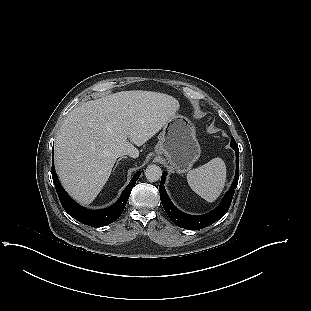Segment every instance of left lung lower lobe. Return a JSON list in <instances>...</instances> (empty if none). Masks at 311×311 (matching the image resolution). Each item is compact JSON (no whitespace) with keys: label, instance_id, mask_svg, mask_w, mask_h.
<instances>
[{"label":"left lung lower lobe","instance_id":"left-lung-lower-lobe-1","mask_svg":"<svg viewBox=\"0 0 311 311\" xmlns=\"http://www.w3.org/2000/svg\"><path fill=\"white\" fill-rule=\"evenodd\" d=\"M231 147L236 151V174L234 181L229 189V191L226 193L224 198L222 199V202L220 205L214 209L213 211L199 216H192L188 215L180 210H178L171 200L169 199L165 188H164V181L166 178V172L164 171L162 174L159 192H160V199L163 205V208L165 209L166 213L168 214L169 218L179 227L190 229V230H197L205 228L220 218H222L226 212L228 211L235 189L238 184L239 179V149L236 145L235 141L231 142Z\"/></svg>","mask_w":311,"mask_h":311}]
</instances>
